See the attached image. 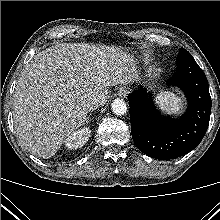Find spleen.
Returning <instances> with one entry per match:
<instances>
[{
	"label": "spleen",
	"mask_w": 220,
	"mask_h": 220,
	"mask_svg": "<svg viewBox=\"0 0 220 220\" xmlns=\"http://www.w3.org/2000/svg\"><path fill=\"white\" fill-rule=\"evenodd\" d=\"M156 101L162 110L171 114L179 113L183 107L182 99L168 91H162L156 97Z\"/></svg>",
	"instance_id": "spleen-1"
}]
</instances>
